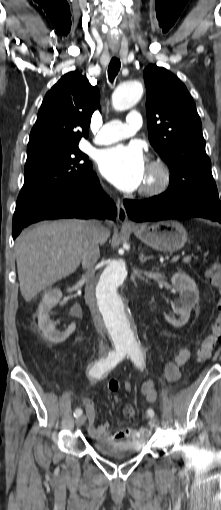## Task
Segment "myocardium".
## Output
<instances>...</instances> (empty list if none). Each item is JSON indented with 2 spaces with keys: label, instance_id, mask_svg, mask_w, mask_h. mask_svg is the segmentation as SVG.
Masks as SVG:
<instances>
[{
  "label": "myocardium",
  "instance_id": "myocardium-1",
  "mask_svg": "<svg viewBox=\"0 0 221 510\" xmlns=\"http://www.w3.org/2000/svg\"><path fill=\"white\" fill-rule=\"evenodd\" d=\"M147 169L152 172L155 179L152 183L140 188L139 194L143 197H156L167 191L171 182V173L167 164L161 159H154Z\"/></svg>",
  "mask_w": 221,
  "mask_h": 510
}]
</instances>
